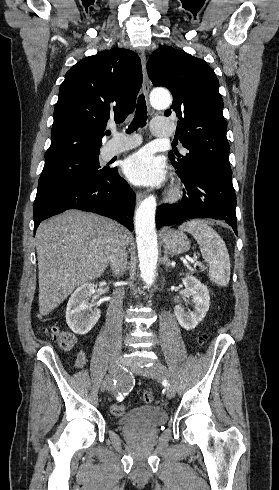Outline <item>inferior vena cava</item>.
<instances>
[{"label":"inferior vena cava","instance_id":"602c4592","mask_svg":"<svg viewBox=\"0 0 279 490\" xmlns=\"http://www.w3.org/2000/svg\"><path fill=\"white\" fill-rule=\"evenodd\" d=\"M126 246L127 240H124L121 234H116L112 240L111 250L108 254V260L113 274H122V272H125L128 256ZM123 298V290H114L107 310L106 322L110 326H113L114 330H120L122 328Z\"/></svg>","mask_w":279,"mask_h":490}]
</instances>
